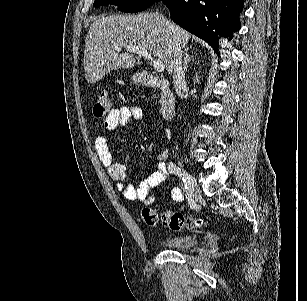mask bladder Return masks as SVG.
<instances>
[{
	"instance_id": "31cf9c89",
	"label": "bladder",
	"mask_w": 307,
	"mask_h": 301,
	"mask_svg": "<svg viewBox=\"0 0 307 301\" xmlns=\"http://www.w3.org/2000/svg\"><path fill=\"white\" fill-rule=\"evenodd\" d=\"M200 238L190 235H180L165 239L162 244L167 249L172 250H187L191 245L197 244Z\"/></svg>"
}]
</instances>
